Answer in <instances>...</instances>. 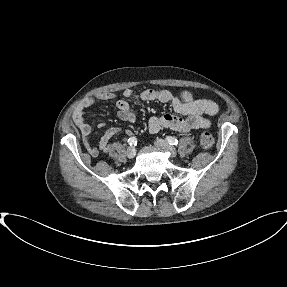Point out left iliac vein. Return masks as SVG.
Returning <instances> with one entry per match:
<instances>
[{"label": "left iliac vein", "instance_id": "1", "mask_svg": "<svg viewBox=\"0 0 287 287\" xmlns=\"http://www.w3.org/2000/svg\"><path fill=\"white\" fill-rule=\"evenodd\" d=\"M155 145L162 148V149L169 151V153L172 157H175L177 155L176 149L174 147L170 146L166 141H164L162 139H157L155 141Z\"/></svg>", "mask_w": 287, "mask_h": 287}]
</instances>
